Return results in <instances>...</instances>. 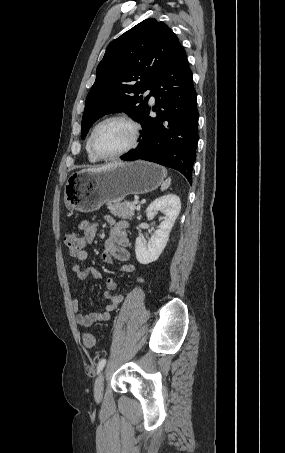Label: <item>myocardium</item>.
Returning <instances> with one entry per match:
<instances>
[{
    "instance_id": "obj_1",
    "label": "myocardium",
    "mask_w": 285,
    "mask_h": 453,
    "mask_svg": "<svg viewBox=\"0 0 285 453\" xmlns=\"http://www.w3.org/2000/svg\"><path fill=\"white\" fill-rule=\"evenodd\" d=\"M112 120H121V121H124L126 123H128L130 125V127L132 128V140L130 142V144L124 148L123 150L117 152V153H114V154H111V155H103L101 153H99L97 150H96V147H95V136H96V133L98 131V129L103 125L105 124L106 122H109V121H112ZM140 136H141V125L139 124V122L133 118L132 116L128 115V114H125V113H116V114H112V115H109L107 117H105L104 119H102L100 122H98L91 134H90V140H89V144H90V149H91V152L93 153V155L98 158L99 160H112V159H117V158H120L126 154H128L129 152H131L133 149H135L138 144H139V140H140Z\"/></svg>"
}]
</instances>
